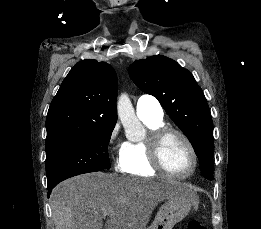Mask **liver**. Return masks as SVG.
<instances>
[{
  "instance_id": "6515ba94",
  "label": "liver",
  "mask_w": 261,
  "mask_h": 229,
  "mask_svg": "<svg viewBox=\"0 0 261 229\" xmlns=\"http://www.w3.org/2000/svg\"><path fill=\"white\" fill-rule=\"evenodd\" d=\"M182 195L171 183L86 173L63 181L52 193L55 229H145L160 201ZM110 217L105 227L103 219Z\"/></svg>"
}]
</instances>
